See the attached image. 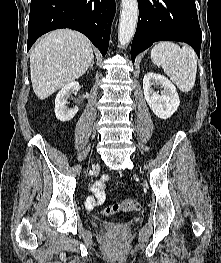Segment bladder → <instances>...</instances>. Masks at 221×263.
<instances>
[{
    "label": "bladder",
    "instance_id": "1",
    "mask_svg": "<svg viewBox=\"0 0 221 263\" xmlns=\"http://www.w3.org/2000/svg\"><path fill=\"white\" fill-rule=\"evenodd\" d=\"M95 225H96L97 227H104V226L109 225V223L104 222V221H98V222H96Z\"/></svg>",
    "mask_w": 221,
    "mask_h": 263
}]
</instances>
